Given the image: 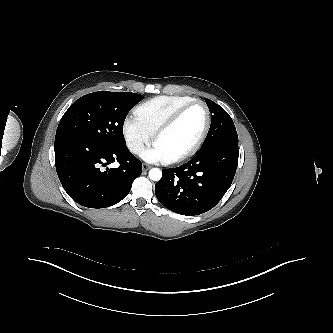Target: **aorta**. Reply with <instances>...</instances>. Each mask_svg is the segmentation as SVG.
Masks as SVG:
<instances>
[{
    "mask_svg": "<svg viewBox=\"0 0 333 333\" xmlns=\"http://www.w3.org/2000/svg\"><path fill=\"white\" fill-rule=\"evenodd\" d=\"M162 177V171L159 168H152L149 171V178L153 181H159Z\"/></svg>",
    "mask_w": 333,
    "mask_h": 333,
    "instance_id": "1",
    "label": "aorta"
}]
</instances>
